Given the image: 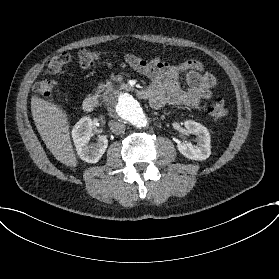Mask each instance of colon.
I'll return each instance as SVG.
<instances>
[{
  "mask_svg": "<svg viewBox=\"0 0 279 279\" xmlns=\"http://www.w3.org/2000/svg\"><path fill=\"white\" fill-rule=\"evenodd\" d=\"M100 59V53L98 51L90 49H81L78 52V66L80 68H87L94 62ZM70 60L68 53H58L52 56L45 68V72L49 76L59 74L65 64ZM57 88V82L53 79H45L39 82L33 89L34 94L40 98H48L53 91ZM208 115L213 119H222L229 113L227 103L223 100H213L207 109Z\"/></svg>",
  "mask_w": 279,
  "mask_h": 279,
  "instance_id": "obj_1",
  "label": "colon"
}]
</instances>
